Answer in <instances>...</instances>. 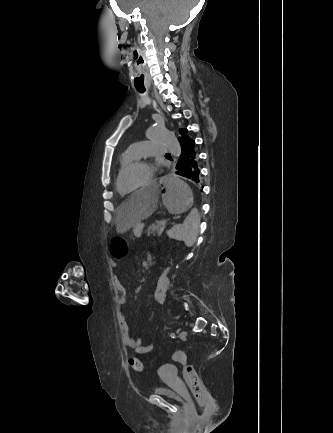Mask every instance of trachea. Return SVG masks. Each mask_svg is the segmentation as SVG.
<instances>
[{"label":"trachea","instance_id":"3493384b","mask_svg":"<svg viewBox=\"0 0 333 433\" xmlns=\"http://www.w3.org/2000/svg\"><path fill=\"white\" fill-rule=\"evenodd\" d=\"M137 91L140 93H143L145 91V89L143 87H136ZM166 155H170L169 153H166Z\"/></svg>","mask_w":333,"mask_h":433}]
</instances>
